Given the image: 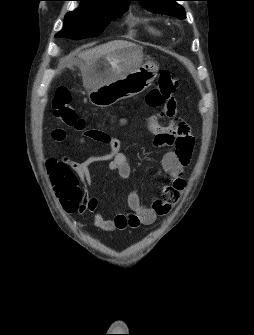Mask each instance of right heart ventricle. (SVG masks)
<instances>
[{"label": "right heart ventricle", "mask_w": 254, "mask_h": 335, "mask_svg": "<svg viewBox=\"0 0 254 335\" xmlns=\"http://www.w3.org/2000/svg\"><path fill=\"white\" fill-rule=\"evenodd\" d=\"M152 33H155V34H157L158 32L155 30V29H153V28H150L149 29Z\"/></svg>", "instance_id": "obj_1"}]
</instances>
